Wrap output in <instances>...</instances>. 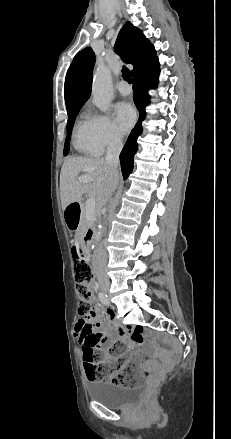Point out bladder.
I'll return each mask as SVG.
<instances>
[{
	"label": "bladder",
	"mask_w": 231,
	"mask_h": 439,
	"mask_svg": "<svg viewBox=\"0 0 231 439\" xmlns=\"http://www.w3.org/2000/svg\"><path fill=\"white\" fill-rule=\"evenodd\" d=\"M138 386H121L106 381L92 382L88 386L89 397L108 408H120L139 398Z\"/></svg>",
	"instance_id": "1"
}]
</instances>
